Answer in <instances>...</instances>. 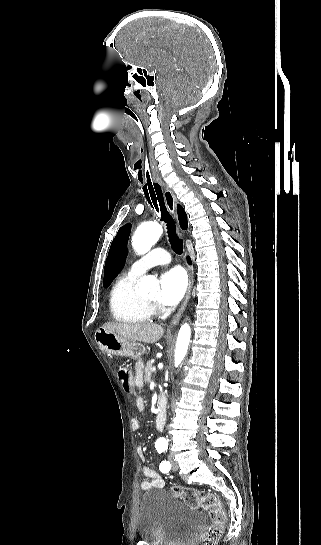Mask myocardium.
<instances>
[{"label":"myocardium","mask_w":321,"mask_h":545,"mask_svg":"<svg viewBox=\"0 0 321 545\" xmlns=\"http://www.w3.org/2000/svg\"><path fill=\"white\" fill-rule=\"evenodd\" d=\"M140 300V299H139ZM140 302L149 310H153L154 309V306L152 304H149V303H146L142 300H140Z\"/></svg>","instance_id":"obj_1"}]
</instances>
